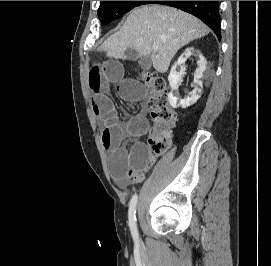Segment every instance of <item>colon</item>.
<instances>
[{
	"label": "colon",
	"instance_id": "colon-1",
	"mask_svg": "<svg viewBox=\"0 0 271 266\" xmlns=\"http://www.w3.org/2000/svg\"><path fill=\"white\" fill-rule=\"evenodd\" d=\"M140 79L151 93L150 109L154 127L148 138L149 150L153 155L159 156L171 144L177 116L170 106L165 80L154 72H143Z\"/></svg>",
	"mask_w": 271,
	"mask_h": 266
}]
</instances>
